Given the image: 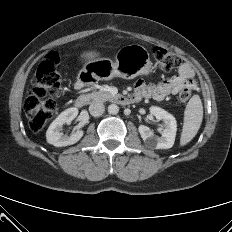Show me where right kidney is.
<instances>
[{"label":"right kidney","instance_id":"ca27d5eb","mask_svg":"<svg viewBox=\"0 0 232 232\" xmlns=\"http://www.w3.org/2000/svg\"><path fill=\"white\" fill-rule=\"evenodd\" d=\"M78 115L77 108H68L63 111L49 126L46 132V139L49 144L56 147H64L77 143L83 136L82 130H77L70 136L64 135L61 130L64 124H71L72 120Z\"/></svg>","mask_w":232,"mask_h":232}]
</instances>
